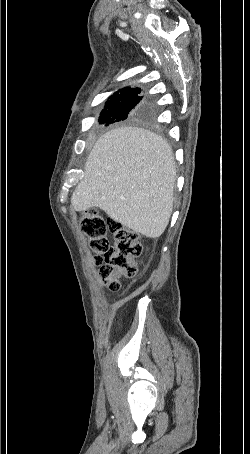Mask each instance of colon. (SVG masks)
Instances as JSON below:
<instances>
[{
	"label": "colon",
	"instance_id": "5ec220e1",
	"mask_svg": "<svg viewBox=\"0 0 250 454\" xmlns=\"http://www.w3.org/2000/svg\"><path fill=\"white\" fill-rule=\"evenodd\" d=\"M80 228L89 239L100 278L111 291H117L121 277L130 278L137 272L134 260L142 253L138 234L117 221L103 218L94 209L84 213ZM110 232L114 235L113 245L108 239Z\"/></svg>",
	"mask_w": 250,
	"mask_h": 454
}]
</instances>
